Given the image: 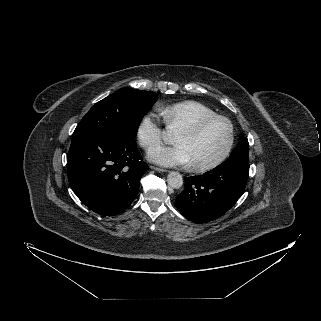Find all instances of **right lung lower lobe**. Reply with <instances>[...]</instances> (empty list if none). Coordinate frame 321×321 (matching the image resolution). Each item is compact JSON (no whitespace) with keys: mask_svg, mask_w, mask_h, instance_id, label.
Masks as SVG:
<instances>
[{"mask_svg":"<svg viewBox=\"0 0 321 321\" xmlns=\"http://www.w3.org/2000/svg\"><path fill=\"white\" fill-rule=\"evenodd\" d=\"M147 168L135 139L120 135L73 137L67 154L72 190L82 203L104 216H115L130 206Z\"/></svg>","mask_w":321,"mask_h":321,"instance_id":"98d812e1","label":"right lung lower lobe"}]
</instances>
